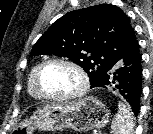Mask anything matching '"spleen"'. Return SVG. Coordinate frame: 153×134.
<instances>
[{"label":"spleen","instance_id":"3e777b00","mask_svg":"<svg viewBox=\"0 0 153 134\" xmlns=\"http://www.w3.org/2000/svg\"><path fill=\"white\" fill-rule=\"evenodd\" d=\"M133 115L130 107L122 102L118 103V112L112 122L114 134H133Z\"/></svg>","mask_w":153,"mask_h":134}]
</instances>
